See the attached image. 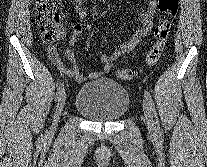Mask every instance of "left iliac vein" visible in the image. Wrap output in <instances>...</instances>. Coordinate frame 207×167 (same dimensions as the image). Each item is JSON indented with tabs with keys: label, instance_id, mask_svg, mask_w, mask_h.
I'll list each match as a JSON object with an SVG mask.
<instances>
[{
	"label": "left iliac vein",
	"instance_id": "left-iliac-vein-1",
	"mask_svg": "<svg viewBox=\"0 0 207 167\" xmlns=\"http://www.w3.org/2000/svg\"><path fill=\"white\" fill-rule=\"evenodd\" d=\"M143 111H144V116H145V121L147 124L148 131L151 135H154L156 132L155 123H154V119H153V115L151 113V110H150L148 104L146 103V101L143 102Z\"/></svg>",
	"mask_w": 207,
	"mask_h": 167
}]
</instances>
